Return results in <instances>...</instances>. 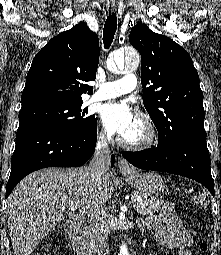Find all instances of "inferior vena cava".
<instances>
[{"label": "inferior vena cava", "mask_w": 221, "mask_h": 255, "mask_svg": "<svg viewBox=\"0 0 221 255\" xmlns=\"http://www.w3.org/2000/svg\"><path fill=\"white\" fill-rule=\"evenodd\" d=\"M110 164V150L105 137L98 140L95 153L88 166L92 179L101 181ZM88 222L101 253L107 251L108 225L106 224V212L104 206L95 205L88 213ZM103 255H106L105 253Z\"/></svg>", "instance_id": "602c4592"}]
</instances>
